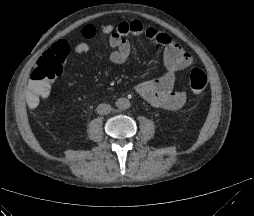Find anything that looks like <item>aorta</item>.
Wrapping results in <instances>:
<instances>
[{"mask_svg": "<svg viewBox=\"0 0 254 216\" xmlns=\"http://www.w3.org/2000/svg\"><path fill=\"white\" fill-rule=\"evenodd\" d=\"M130 106H131L130 101L127 98H119L116 101V107L119 110H126L130 108Z\"/></svg>", "mask_w": 254, "mask_h": 216, "instance_id": "obj_1", "label": "aorta"}]
</instances>
